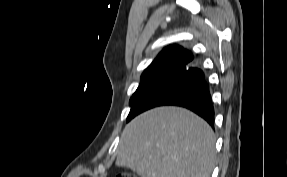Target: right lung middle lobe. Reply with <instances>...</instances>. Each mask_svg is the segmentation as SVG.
I'll return each instance as SVG.
<instances>
[{"mask_svg":"<svg viewBox=\"0 0 287 177\" xmlns=\"http://www.w3.org/2000/svg\"><path fill=\"white\" fill-rule=\"evenodd\" d=\"M180 66L181 62L177 60H169L150 65L141 76L140 85L130 99V106H132L156 80ZM132 116L133 113L130 112L127 121H129Z\"/></svg>","mask_w":287,"mask_h":177,"instance_id":"obj_1","label":"right lung middle lobe"}]
</instances>
